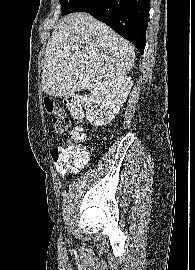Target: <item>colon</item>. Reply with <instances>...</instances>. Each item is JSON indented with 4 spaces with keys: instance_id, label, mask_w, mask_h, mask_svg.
I'll return each instance as SVG.
<instances>
[{
    "instance_id": "1",
    "label": "colon",
    "mask_w": 195,
    "mask_h": 270,
    "mask_svg": "<svg viewBox=\"0 0 195 270\" xmlns=\"http://www.w3.org/2000/svg\"><path fill=\"white\" fill-rule=\"evenodd\" d=\"M65 105L73 118L81 121L86 109V99L79 94H70L65 98ZM44 107L48 114L53 115L54 129L58 134H64L70 128V119L61 107L51 98L44 99ZM85 135L82 129L73 130L63 144L52 150V158L57 171L60 174L73 172L81 167L88 158V154L83 146Z\"/></svg>"
}]
</instances>
